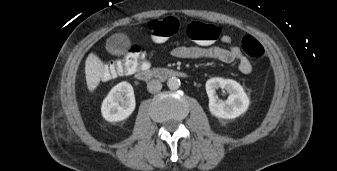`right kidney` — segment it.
I'll return each instance as SVG.
<instances>
[{"label":"right kidney","mask_w":337,"mask_h":171,"mask_svg":"<svg viewBox=\"0 0 337 171\" xmlns=\"http://www.w3.org/2000/svg\"><path fill=\"white\" fill-rule=\"evenodd\" d=\"M136 106L134 90L130 83L124 81L115 85L103 100L102 116L110 122L128 118Z\"/></svg>","instance_id":"1"}]
</instances>
